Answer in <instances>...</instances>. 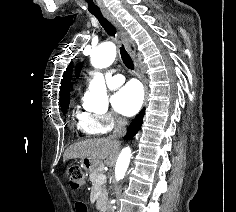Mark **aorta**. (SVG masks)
I'll return each instance as SVG.
<instances>
[{"mask_svg":"<svg viewBox=\"0 0 236 212\" xmlns=\"http://www.w3.org/2000/svg\"><path fill=\"white\" fill-rule=\"evenodd\" d=\"M115 57V45L112 42H105L93 50L90 56V61L92 66L95 68H105L113 63ZM85 98L87 100L88 108L92 110L108 104L106 84L101 73H97L91 80ZM130 159L131 149L126 147L121 151L116 162L115 176L117 181L125 176Z\"/></svg>","mask_w":236,"mask_h":212,"instance_id":"762f6f07","label":"aorta"}]
</instances>
